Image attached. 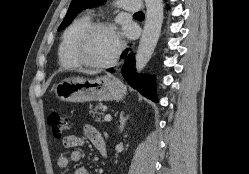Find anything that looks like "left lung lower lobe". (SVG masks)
I'll use <instances>...</instances> for the list:
<instances>
[{
  "mask_svg": "<svg viewBox=\"0 0 249 174\" xmlns=\"http://www.w3.org/2000/svg\"><path fill=\"white\" fill-rule=\"evenodd\" d=\"M127 53L128 51H124L122 56V58L126 60L122 69V75L126 81L142 95L157 102L154 79L151 76L137 75L134 69V54L131 53L127 56ZM109 71L113 72V70Z\"/></svg>",
  "mask_w": 249,
  "mask_h": 174,
  "instance_id": "0a47b994",
  "label": "left lung lower lobe"
}]
</instances>
